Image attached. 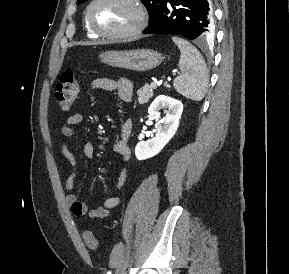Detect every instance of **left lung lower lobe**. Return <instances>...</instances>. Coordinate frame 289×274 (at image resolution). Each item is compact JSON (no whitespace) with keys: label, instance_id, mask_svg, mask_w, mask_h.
Instances as JSON below:
<instances>
[{"label":"left lung lower lobe","instance_id":"1","mask_svg":"<svg viewBox=\"0 0 289 274\" xmlns=\"http://www.w3.org/2000/svg\"><path fill=\"white\" fill-rule=\"evenodd\" d=\"M144 34L181 35L204 42L214 34L209 0H165L158 17Z\"/></svg>","mask_w":289,"mask_h":274}]
</instances>
